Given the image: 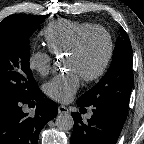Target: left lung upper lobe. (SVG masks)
I'll use <instances>...</instances> for the list:
<instances>
[{
  "label": "left lung upper lobe",
  "instance_id": "obj_1",
  "mask_svg": "<svg viewBox=\"0 0 144 144\" xmlns=\"http://www.w3.org/2000/svg\"><path fill=\"white\" fill-rule=\"evenodd\" d=\"M117 39L113 60L104 77L89 91L83 94L77 103L82 106L109 104L128 112L130 93L134 77L132 71V47L127 33L121 27Z\"/></svg>",
  "mask_w": 144,
  "mask_h": 144
}]
</instances>
